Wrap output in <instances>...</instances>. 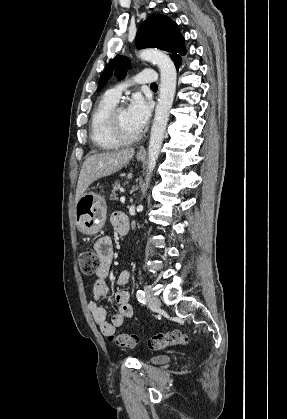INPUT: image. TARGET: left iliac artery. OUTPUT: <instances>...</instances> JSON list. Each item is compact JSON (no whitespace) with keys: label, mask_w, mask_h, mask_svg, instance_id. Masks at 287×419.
Returning <instances> with one entry per match:
<instances>
[{"label":"left iliac artery","mask_w":287,"mask_h":419,"mask_svg":"<svg viewBox=\"0 0 287 419\" xmlns=\"http://www.w3.org/2000/svg\"><path fill=\"white\" fill-rule=\"evenodd\" d=\"M136 297H137V300L140 302V303H144V299H145V292L143 291V290H137V293H136Z\"/></svg>","instance_id":"44dca946"}]
</instances>
